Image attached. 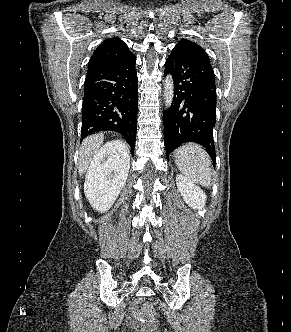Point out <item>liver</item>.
<instances>
[{
    "instance_id": "obj_1",
    "label": "liver",
    "mask_w": 291,
    "mask_h": 332,
    "mask_svg": "<svg viewBox=\"0 0 291 332\" xmlns=\"http://www.w3.org/2000/svg\"><path fill=\"white\" fill-rule=\"evenodd\" d=\"M103 141L104 135L101 133L88 136L83 140L79 150L78 159V170L80 176L87 170L89 163L92 161L98 149L102 146ZM125 149L129 157L130 151L126 146Z\"/></svg>"
}]
</instances>
